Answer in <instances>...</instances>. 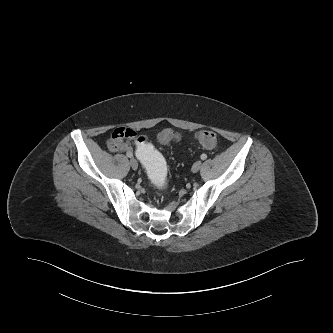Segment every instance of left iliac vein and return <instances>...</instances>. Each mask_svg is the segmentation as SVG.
<instances>
[{
	"mask_svg": "<svg viewBox=\"0 0 333 333\" xmlns=\"http://www.w3.org/2000/svg\"><path fill=\"white\" fill-rule=\"evenodd\" d=\"M201 165H202L201 161H196L192 166V171L193 172H198L201 168Z\"/></svg>",
	"mask_w": 333,
	"mask_h": 333,
	"instance_id": "4c4485c4",
	"label": "left iliac vein"
}]
</instances>
